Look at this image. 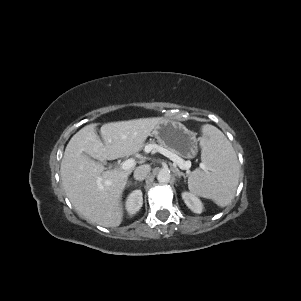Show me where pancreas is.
Masks as SVG:
<instances>
[{
  "mask_svg": "<svg viewBox=\"0 0 301 301\" xmlns=\"http://www.w3.org/2000/svg\"><path fill=\"white\" fill-rule=\"evenodd\" d=\"M148 145H155V143L152 141V142H150V144H148ZM160 147H163V146H161L160 145ZM164 149H166L165 147H163ZM166 150H168V149H166ZM168 151H170V150H168ZM171 153H173V154H175L174 152H172V151H170ZM176 155V154H175Z\"/></svg>",
  "mask_w": 301,
  "mask_h": 301,
  "instance_id": "pancreas-1",
  "label": "pancreas"
}]
</instances>
